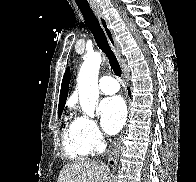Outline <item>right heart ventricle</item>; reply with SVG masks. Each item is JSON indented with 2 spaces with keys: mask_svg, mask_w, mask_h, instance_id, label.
Instances as JSON below:
<instances>
[{
  "mask_svg": "<svg viewBox=\"0 0 196 182\" xmlns=\"http://www.w3.org/2000/svg\"><path fill=\"white\" fill-rule=\"evenodd\" d=\"M63 147L65 154L75 161L85 159L90 153L82 140L77 119L66 124L63 131Z\"/></svg>",
  "mask_w": 196,
  "mask_h": 182,
  "instance_id": "right-heart-ventricle-1",
  "label": "right heart ventricle"
}]
</instances>
